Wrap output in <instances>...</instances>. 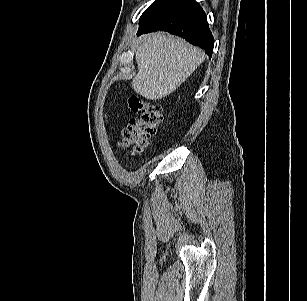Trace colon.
<instances>
[{
    "label": "colon",
    "mask_w": 307,
    "mask_h": 301,
    "mask_svg": "<svg viewBox=\"0 0 307 301\" xmlns=\"http://www.w3.org/2000/svg\"><path fill=\"white\" fill-rule=\"evenodd\" d=\"M129 107L137 116L132 118L123 130L121 145L130 148L135 154L140 153L148 145L162 115L158 104L137 98L129 100Z\"/></svg>",
    "instance_id": "1"
}]
</instances>
